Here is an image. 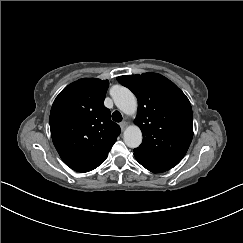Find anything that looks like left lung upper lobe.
<instances>
[{
    "label": "left lung upper lobe",
    "mask_w": 243,
    "mask_h": 243,
    "mask_svg": "<svg viewBox=\"0 0 243 243\" xmlns=\"http://www.w3.org/2000/svg\"><path fill=\"white\" fill-rule=\"evenodd\" d=\"M137 97L135 124L143 141L134 154L157 166L173 168L185 156L193 137L192 108L185 94L157 73L117 77Z\"/></svg>",
    "instance_id": "5c2ea615"
}]
</instances>
